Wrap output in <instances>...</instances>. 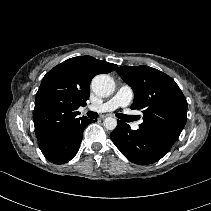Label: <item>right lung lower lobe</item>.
Returning <instances> with one entry per match:
<instances>
[{
  "instance_id": "1",
  "label": "right lung lower lobe",
  "mask_w": 211,
  "mask_h": 211,
  "mask_svg": "<svg viewBox=\"0 0 211 211\" xmlns=\"http://www.w3.org/2000/svg\"><path fill=\"white\" fill-rule=\"evenodd\" d=\"M94 122L85 118L57 133L39 147L45 158L54 164L70 161L78 152L85 127Z\"/></svg>"
}]
</instances>
